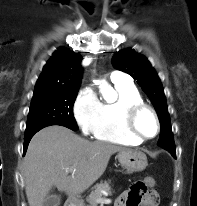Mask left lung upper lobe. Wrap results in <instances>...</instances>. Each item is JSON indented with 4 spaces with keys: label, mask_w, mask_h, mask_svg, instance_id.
<instances>
[{
    "label": "left lung upper lobe",
    "mask_w": 197,
    "mask_h": 206,
    "mask_svg": "<svg viewBox=\"0 0 197 206\" xmlns=\"http://www.w3.org/2000/svg\"><path fill=\"white\" fill-rule=\"evenodd\" d=\"M113 66L131 75L150 98L160 121L158 145L168 149L175 148L171 130L170 116L161 81L150 62L132 49H124L114 54Z\"/></svg>",
    "instance_id": "obj_1"
}]
</instances>
